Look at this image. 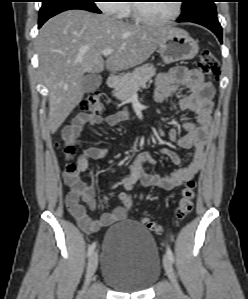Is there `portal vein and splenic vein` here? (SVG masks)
<instances>
[{
	"label": "portal vein and splenic vein",
	"mask_w": 248,
	"mask_h": 299,
	"mask_svg": "<svg viewBox=\"0 0 248 299\" xmlns=\"http://www.w3.org/2000/svg\"><path fill=\"white\" fill-rule=\"evenodd\" d=\"M113 52H114L113 49H104V50L102 51V54H103L104 56H108V55L112 54Z\"/></svg>",
	"instance_id": "1"
}]
</instances>
